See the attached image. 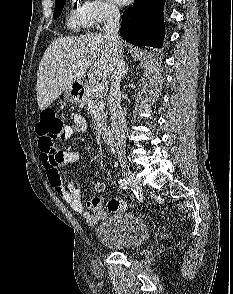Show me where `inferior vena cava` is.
I'll return each instance as SVG.
<instances>
[{"instance_id": "obj_1", "label": "inferior vena cava", "mask_w": 233, "mask_h": 294, "mask_svg": "<svg viewBox=\"0 0 233 294\" xmlns=\"http://www.w3.org/2000/svg\"><path fill=\"white\" fill-rule=\"evenodd\" d=\"M120 12L116 7H109L106 22L104 24V37L112 41L116 48V56L111 72V87L109 92V109L112 120V131L116 141V149L121 165L126 162L125 132L126 120L121 108L120 81L125 73V61L123 59V44L118 35Z\"/></svg>"}]
</instances>
